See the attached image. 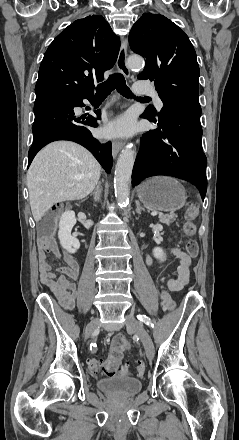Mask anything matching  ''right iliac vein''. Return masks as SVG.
<instances>
[{
    "label": "right iliac vein",
    "mask_w": 239,
    "mask_h": 440,
    "mask_svg": "<svg viewBox=\"0 0 239 440\" xmlns=\"http://www.w3.org/2000/svg\"><path fill=\"white\" fill-rule=\"evenodd\" d=\"M98 325V319H92L85 328V338H89Z\"/></svg>",
    "instance_id": "1"
}]
</instances>
